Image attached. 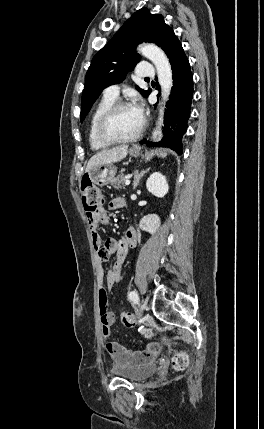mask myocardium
I'll use <instances>...</instances> for the list:
<instances>
[{
	"label": "myocardium",
	"mask_w": 264,
	"mask_h": 429,
	"mask_svg": "<svg viewBox=\"0 0 264 429\" xmlns=\"http://www.w3.org/2000/svg\"><path fill=\"white\" fill-rule=\"evenodd\" d=\"M127 107H132L129 102L117 101V102H114L110 107H108L106 111L101 115L96 126V133L100 141L108 145L121 144V143L133 142L142 135L145 129V121L143 119L141 121V125L139 129L129 137L115 138L110 136L107 133L106 127L111 117L120 109L127 108Z\"/></svg>",
	"instance_id": "obj_1"
}]
</instances>
